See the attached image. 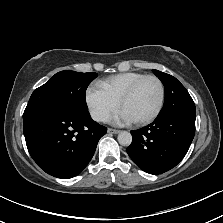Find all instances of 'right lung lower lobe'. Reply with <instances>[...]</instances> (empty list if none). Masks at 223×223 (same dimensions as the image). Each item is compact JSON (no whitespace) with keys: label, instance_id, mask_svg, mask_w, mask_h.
I'll return each mask as SVG.
<instances>
[{"label":"right lung lower lobe","instance_id":"obj_1","mask_svg":"<svg viewBox=\"0 0 223 223\" xmlns=\"http://www.w3.org/2000/svg\"><path fill=\"white\" fill-rule=\"evenodd\" d=\"M23 131L37 165L54 177L66 179L86 167L107 128L90 115L47 112L23 118Z\"/></svg>","mask_w":223,"mask_h":223}]
</instances>
